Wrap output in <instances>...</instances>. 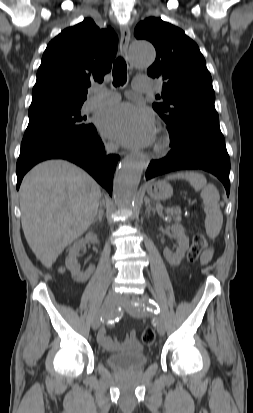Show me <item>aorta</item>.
<instances>
[{"label":"aorta","instance_id":"1","mask_svg":"<svg viewBox=\"0 0 253 413\" xmlns=\"http://www.w3.org/2000/svg\"><path fill=\"white\" fill-rule=\"evenodd\" d=\"M129 54L134 65L139 68H147L155 58L154 47L145 40H134ZM143 168L144 161L137 155H129L122 161L113 184L114 199L118 207L132 208Z\"/></svg>","mask_w":253,"mask_h":413}]
</instances>
